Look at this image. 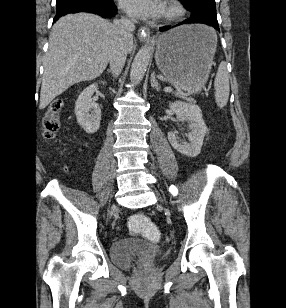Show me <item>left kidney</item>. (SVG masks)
Returning a JSON list of instances; mask_svg holds the SVG:
<instances>
[{
  "mask_svg": "<svg viewBox=\"0 0 286 308\" xmlns=\"http://www.w3.org/2000/svg\"><path fill=\"white\" fill-rule=\"evenodd\" d=\"M169 108L180 121H187L190 132L188 133L189 143L180 140L176 131L168 132L170 144L183 155L195 157L201 152L207 126L202 118V112L198 105L182 101L169 103Z\"/></svg>",
  "mask_w": 286,
  "mask_h": 308,
  "instance_id": "obj_1",
  "label": "left kidney"
}]
</instances>
